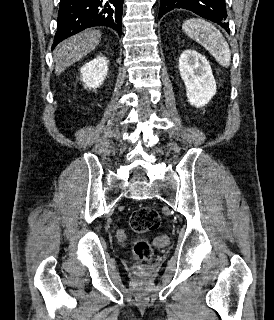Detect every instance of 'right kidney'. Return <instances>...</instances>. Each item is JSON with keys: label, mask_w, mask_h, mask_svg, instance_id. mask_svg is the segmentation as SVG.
Instances as JSON below:
<instances>
[{"label": "right kidney", "mask_w": 274, "mask_h": 320, "mask_svg": "<svg viewBox=\"0 0 274 320\" xmlns=\"http://www.w3.org/2000/svg\"><path fill=\"white\" fill-rule=\"evenodd\" d=\"M108 62L109 60L105 56H97L95 60H91V62L82 66L80 72L85 88L95 90V88L102 86V82L108 74Z\"/></svg>", "instance_id": "obj_1"}]
</instances>
